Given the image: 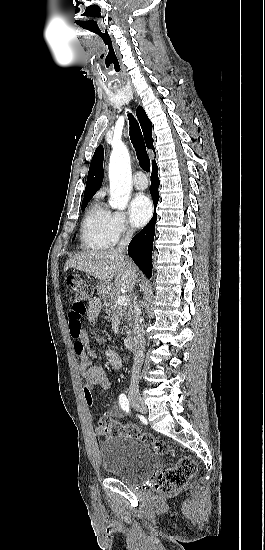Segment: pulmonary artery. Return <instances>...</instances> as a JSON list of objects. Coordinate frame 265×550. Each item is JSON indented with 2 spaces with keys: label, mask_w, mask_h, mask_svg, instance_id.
<instances>
[{
  "label": "pulmonary artery",
  "mask_w": 265,
  "mask_h": 550,
  "mask_svg": "<svg viewBox=\"0 0 265 550\" xmlns=\"http://www.w3.org/2000/svg\"><path fill=\"white\" fill-rule=\"evenodd\" d=\"M133 185L138 190H144L148 186V181L143 172H137L133 178Z\"/></svg>",
  "instance_id": "obj_1"
}]
</instances>
